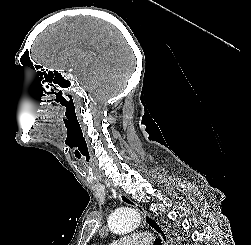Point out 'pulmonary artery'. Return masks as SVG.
Instances as JSON below:
<instances>
[{"instance_id":"obj_1","label":"pulmonary artery","mask_w":251,"mask_h":245,"mask_svg":"<svg viewBox=\"0 0 251 245\" xmlns=\"http://www.w3.org/2000/svg\"><path fill=\"white\" fill-rule=\"evenodd\" d=\"M151 234L148 232L130 236L123 240L112 243L111 245H148L150 243Z\"/></svg>"}]
</instances>
